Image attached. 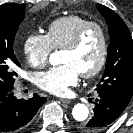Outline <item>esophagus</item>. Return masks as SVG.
I'll return each instance as SVG.
<instances>
[{"mask_svg":"<svg viewBox=\"0 0 133 133\" xmlns=\"http://www.w3.org/2000/svg\"><path fill=\"white\" fill-rule=\"evenodd\" d=\"M59 101L63 104H70L71 103V100L69 99H63V98H59Z\"/></svg>","mask_w":133,"mask_h":133,"instance_id":"34e87169","label":"esophagus"}]
</instances>
